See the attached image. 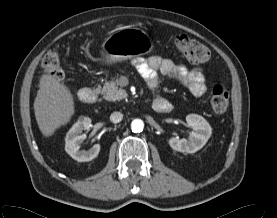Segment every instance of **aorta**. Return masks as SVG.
I'll list each match as a JSON object with an SVG mask.
<instances>
[{
  "instance_id": "obj_1",
  "label": "aorta",
  "mask_w": 277,
  "mask_h": 218,
  "mask_svg": "<svg viewBox=\"0 0 277 218\" xmlns=\"http://www.w3.org/2000/svg\"><path fill=\"white\" fill-rule=\"evenodd\" d=\"M144 123L141 119H134L131 123V129L134 133L142 132Z\"/></svg>"
}]
</instances>
